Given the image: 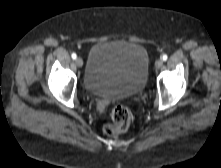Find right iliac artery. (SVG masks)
<instances>
[{
  "label": "right iliac artery",
  "mask_w": 221,
  "mask_h": 168,
  "mask_svg": "<svg viewBox=\"0 0 221 168\" xmlns=\"http://www.w3.org/2000/svg\"><path fill=\"white\" fill-rule=\"evenodd\" d=\"M71 57H72L73 59H76L77 55H76L75 53H72Z\"/></svg>",
  "instance_id": "right-iliac-artery-1"
}]
</instances>
